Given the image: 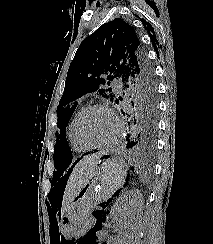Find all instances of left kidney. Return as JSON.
<instances>
[{"label":"left kidney","mask_w":213,"mask_h":244,"mask_svg":"<svg viewBox=\"0 0 213 244\" xmlns=\"http://www.w3.org/2000/svg\"><path fill=\"white\" fill-rule=\"evenodd\" d=\"M142 195L138 191H128L121 196L111 209V219L121 227L117 243L128 244L138 226Z\"/></svg>","instance_id":"left-kidney-1"}]
</instances>
